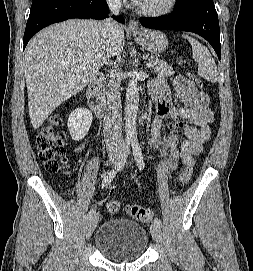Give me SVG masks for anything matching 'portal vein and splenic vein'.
Masks as SVG:
<instances>
[{
    "instance_id": "1",
    "label": "portal vein and splenic vein",
    "mask_w": 253,
    "mask_h": 271,
    "mask_svg": "<svg viewBox=\"0 0 253 271\" xmlns=\"http://www.w3.org/2000/svg\"><path fill=\"white\" fill-rule=\"evenodd\" d=\"M156 64H157L156 61H149V62L146 64V66L149 68V67L155 66Z\"/></svg>"
}]
</instances>
